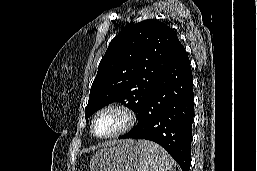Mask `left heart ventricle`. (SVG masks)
I'll return each mask as SVG.
<instances>
[{"label": "left heart ventricle", "instance_id": "b2bd125f", "mask_svg": "<svg viewBox=\"0 0 257 171\" xmlns=\"http://www.w3.org/2000/svg\"><path fill=\"white\" fill-rule=\"evenodd\" d=\"M124 124V116L118 111H107L95 121L94 131L97 135H107L115 132Z\"/></svg>", "mask_w": 257, "mask_h": 171}]
</instances>
